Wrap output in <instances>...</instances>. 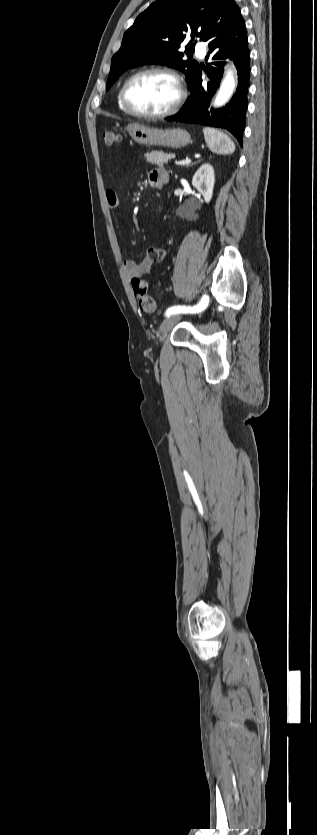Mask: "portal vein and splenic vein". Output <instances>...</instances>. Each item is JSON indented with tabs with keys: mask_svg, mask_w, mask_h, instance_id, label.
<instances>
[{
	"mask_svg": "<svg viewBox=\"0 0 317 835\" xmlns=\"http://www.w3.org/2000/svg\"><path fill=\"white\" fill-rule=\"evenodd\" d=\"M189 162H190V160L187 159V160L175 161L174 164L181 165V164H185V163H189Z\"/></svg>",
	"mask_w": 317,
	"mask_h": 835,
	"instance_id": "portal-vein-and-splenic-vein-1",
	"label": "portal vein and splenic vein"
}]
</instances>
